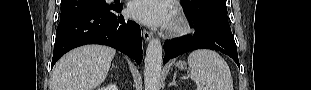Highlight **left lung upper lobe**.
<instances>
[{
	"instance_id": "1",
	"label": "left lung upper lobe",
	"mask_w": 311,
	"mask_h": 90,
	"mask_svg": "<svg viewBox=\"0 0 311 90\" xmlns=\"http://www.w3.org/2000/svg\"><path fill=\"white\" fill-rule=\"evenodd\" d=\"M181 5L195 26L214 24L230 30L225 0H182Z\"/></svg>"
}]
</instances>
